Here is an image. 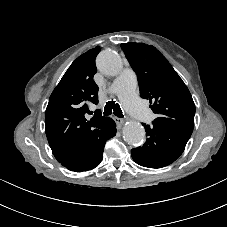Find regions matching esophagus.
Listing matches in <instances>:
<instances>
[{"mask_svg": "<svg viewBox=\"0 0 227 227\" xmlns=\"http://www.w3.org/2000/svg\"><path fill=\"white\" fill-rule=\"evenodd\" d=\"M115 121H116L118 126H122L125 122L124 119L118 118V117L115 118Z\"/></svg>", "mask_w": 227, "mask_h": 227, "instance_id": "34e87169", "label": "esophagus"}]
</instances>
